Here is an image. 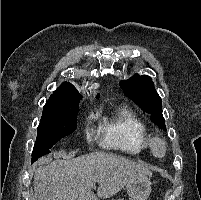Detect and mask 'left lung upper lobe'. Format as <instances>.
<instances>
[{"label":"left lung upper lobe","mask_w":201,"mask_h":200,"mask_svg":"<svg viewBox=\"0 0 201 200\" xmlns=\"http://www.w3.org/2000/svg\"><path fill=\"white\" fill-rule=\"evenodd\" d=\"M124 94L132 99L143 111L150 114L152 121L166 130L162 115V100L149 76L135 74L129 80L120 81Z\"/></svg>","instance_id":"5c2ea615"}]
</instances>
